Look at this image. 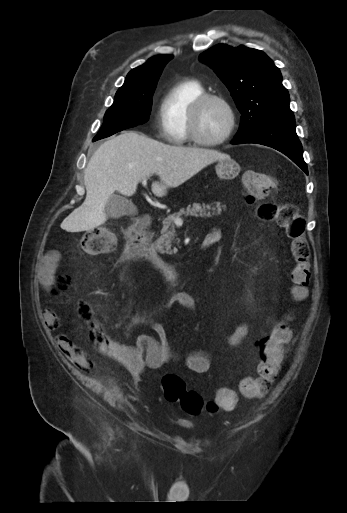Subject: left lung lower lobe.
Masks as SVG:
<instances>
[{
    "instance_id": "left-lung-lower-lobe-1",
    "label": "left lung lower lobe",
    "mask_w": 347,
    "mask_h": 513,
    "mask_svg": "<svg viewBox=\"0 0 347 513\" xmlns=\"http://www.w3.org/2000/svg\"><path fill=\"white\" fill-rule=\"evenodd\" d=\"M243 143H255L272 147L288 156L308 174L303 159L302 145L295 131V121L271 122L243 137L234 138V141H232V144Z\"/></svg>"
}]
</instances>
